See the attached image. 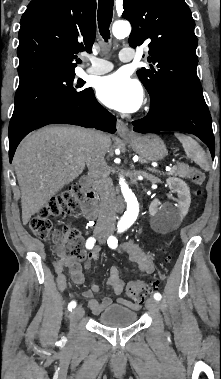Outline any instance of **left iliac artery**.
Returning <instances> with one entry per match:
<instances>
[{
	"label": "left iliac artery",
	"mask_w": 221,
	"mask_h": 379,
	"mask_svg": "<svg viewBox=\"0 0 221 379\" xmlns=\"http://www.w3.org/2000/svg\"><path fill=\"white\" fill-rule=\"evenodd\" d=\"M123 231H124V228H122V227L118 228V233H121ZM107 243H108V246L112 249H116L118 246V240L115 236H110L107 240ZM161 298H162V296L160 293L157 292L154 294V299L160 300Z\"/></svg>",
	"instance_id": "obj_1"
}]
</instances>
